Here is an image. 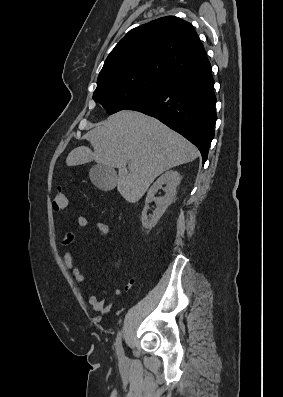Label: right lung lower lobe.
Returning a JSON list of instances; mask_svg holds the SVG:
<instances>
[{"instance_id": "right-lung-lower-lobe-1", "label": "right lung lower lobe", "mask_w": 283, "mask_h": 397, "mask_svg": "<svg viewBox=\"0 0 283 397\" xmlns=\"http://www.w3.org/2000/svg\"><path fill=\"white\" fill-rule=\"evenodd\" d=\"M213 85L208 64L173 77L126 109L155 117L183 135L197 146L205 163L217 119Z\"/></svg>"}]
</instances>
